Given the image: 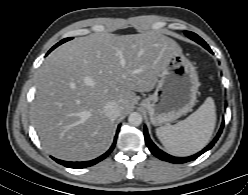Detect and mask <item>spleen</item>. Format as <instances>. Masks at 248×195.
I'll use <instances>...</instances> for the list:
<instances>
[{
  "label": "spleen",
  "instance_id": "1",
  "mask_svg": "<svg viewBox=\"0 0 248 195\" xmlns=\"http://www.w3.org/2000/svg\"><path fill=\"white\" fill-rule=\"evenodd\" d=\"M216 109L208 97L205 102L186 119L175 125L156 129V135L165 149L176 156H189L204 148L214 131Z\"/></svg>",
  "mask_w": 248,
  "mask_h": 195
}]
</instances>
